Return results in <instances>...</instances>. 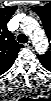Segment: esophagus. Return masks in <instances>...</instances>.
<instances>
[{
  "label": "esophagus",
  "mask_w": 51,
  "mask_h": 101,
  "mask_svg": "<svg viewBox=\"0 0 51 101\" xmlns=\"http://www.w3.org/2000/svg\"><path fill=\"white\" fill-rule=\"evenodd\" d=\"M26 46H27L28 48H33L34 43H33L32 41H29V42L26 44Z\"/></svg>",
  "instance_id": "esophagus-1"
}]
</instances>
